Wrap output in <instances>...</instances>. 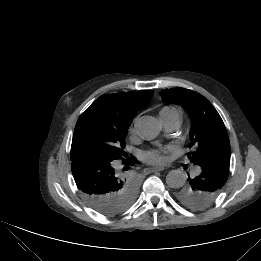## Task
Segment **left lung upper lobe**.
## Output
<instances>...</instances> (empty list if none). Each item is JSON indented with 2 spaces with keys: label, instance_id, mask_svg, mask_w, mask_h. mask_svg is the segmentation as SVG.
<instances>
[{
  "label": "left lung upper lobe",
  "instance_id": "obj_1",
  "mask_svg": "<svg viewBox=\"0 0 261 261\" xmlns=\"http://www.w3.org/2000/svg\"><path fill=\"white\" fill-rule=\"evenodd\" d=\"M163 101L181 105L189 114L192 127L190 130V161L201 165L209 160L226 161L230 163V143L225 125L212 104L199 93L184 89H165L162 93ZM206 196L203 192L194 190L189 183L180 187L176 198L187 207L203 209L209 206L217 196Z\"/></svg>",
  "mask_w": 261,
  "mask_h": 261
}]
</instances>
